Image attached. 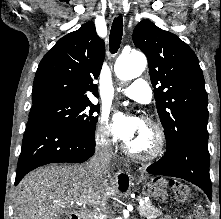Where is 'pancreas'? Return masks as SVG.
I'll use <instances>...</instances> for the list:
<instances>
[{
    "instance_id": "obj_1",
    "label": "pancreas",
    "mask_w": 221,
    "mask_h": 219,
    "mask_svg": "<svg viewBox=\"0 0 221 219\" xmlns=\"http://www.w3.org/2000/svg\"><path fill=\"white\" fill-rule=\"evenodd\" d=\"M138 200H141V198L139 197ZM139 214L146 219H156L163 216V212L155 208L150 202L140 205Z\"/></svg>"
}]
</instances>
